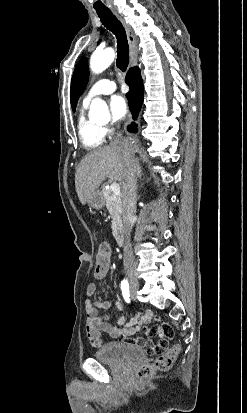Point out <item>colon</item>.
I'll return each mask as SVG.
<instances>
[{
  "mask_svg": "<svg viewBox=\"0 0 247 413\" xmlns=\"http://www.w3.org/2000/svg\"><path fill=\"white\" fill-rule=\"evenodd\" d=\"M107 248L104 246H98L96 248V255L92 257V276L95 278L101 275L109 274V259L105 257V252ZM160 340L164 339L163 335L159 336ZM182 349V344L180 342H173L171 344V349L169 353H163V357H158L156 359L155 365H143L136 374L137 381H150L151 374L154 369L160 371L170 370L175 362L178 351Z\"/></svg>",
  "mask_w": 247,
  "mask_h": 413,
  "instance_id": "obj_1",
  "label": "colon"
}]
</instances>
